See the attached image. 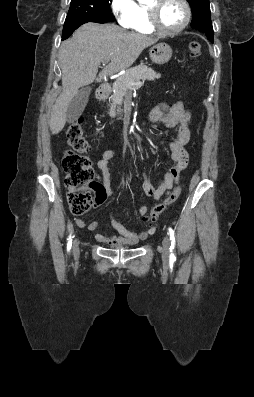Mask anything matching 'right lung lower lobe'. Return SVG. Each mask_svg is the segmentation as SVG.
I'll use <instances>...</instances> for the list:
<instances>
[{"label":"right lung lower lobe","mask_w":254,"mask_h":397,"mask_svg":"<svg viewBox=\"0 0 254 397\" xmlns=\"http://www.w3.org/2000/svg\"><path fill=\"white\" fill-rule=\"evenodd\" d=\"M91 22L89 20H74L70 22H65L62 32V40L68 38L74 30H76L79 26L84 23Z\"/></svg>","instance_id":"right-lung-lower-lobe-1"}]
</instances>
